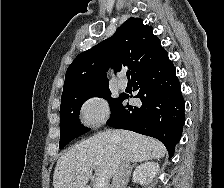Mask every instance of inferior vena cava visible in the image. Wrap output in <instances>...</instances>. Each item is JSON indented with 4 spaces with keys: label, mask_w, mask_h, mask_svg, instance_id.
I'll return each mask as SVG.
<instances>
[{
    "label": "inferior vena cava",
    "mask_w": 224,
    "mask_h": 188,
    "mask_svg": "<svg viewBox=\"0 0 224 188\" xmlns=\"http://www.w3.org/2000/svg\"><path fill=\"white\" fill-rule=\"evenodd\" d=\"M130 161L126 157H121L116 171L113 175L111 188H126L130 172Z\"/></svg>",
    "instance_id": "inferior-vena-cava-1"
}]
</instances>
